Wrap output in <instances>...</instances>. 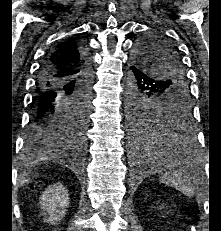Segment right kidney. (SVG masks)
Here are the masks:
<instances>
[{
    "mask_svg": "<svg viewBox=\"0 0 221 231\" xmlns=\"http://www.w3.org/2000/svg\"><path fill=\"white\" fill-rule=\"evenodd\" d=\"M40 200L41 207L45 211L43 213L45 222L55 224L65 216L69 195L61 183L48 186L42 193Z\"/></svg>",
    "mask_w": 221,
    "mask_h": 231,
    "instance_id": "ca27d5eb",
    "label": "right kidney"
}]
</instances>
